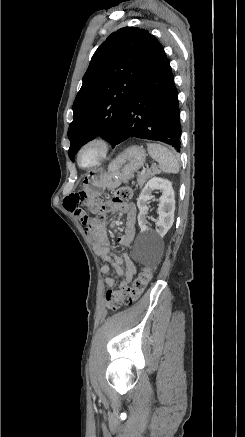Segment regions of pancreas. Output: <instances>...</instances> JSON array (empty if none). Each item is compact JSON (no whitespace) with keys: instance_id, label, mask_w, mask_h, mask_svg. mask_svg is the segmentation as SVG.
I'll use <instances>...</instances> for the list:
<instances>
[{"instance_id":"1","label":"pancreas","mask_w":245,"mask_h":437,"mask_svg":"<svg viewBox=\"0 0 245 437\" xmlns=\"http://www.w3.org/2000/svg\"><path fill=\"white\" fill-rule=\"evenodd\" d=\"M159 170L157 168H152V170H148L146 173L140 174L137 178V187H142L146 181L155 174H158Z\"/></svg>"}]
</instances>
